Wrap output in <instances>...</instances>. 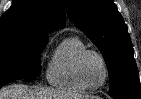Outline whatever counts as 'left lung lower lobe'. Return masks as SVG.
Instances as JSON below:
<instances>
[{"label": "left lung lower lobe", "mask_w": 141, "mask_h": 99, "mask_svg": "<svg viewBox=\"0 0 141 99\" xmlns=\"http://www.w3.org/2000/svg\"><path fill=\"white\" fill-rule=\"evenodd\" d=\"M112 97L114 99H141L140 96H133V95L118 96V95L112 94Z\"/></svg>", "instance_id": "obj_1"}]
</instances>
